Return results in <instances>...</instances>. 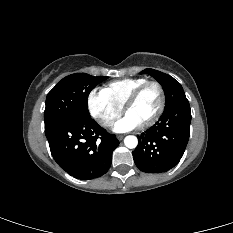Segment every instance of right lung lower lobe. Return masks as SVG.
Here are the masks:
<instances>
[{"instance_id":"obj_1","label":"right lung lower lobe","mask_w":233,"mask_h":233,"mask_svg":"<svg viewBox=\"0 0 233 233\" xmlns=\"http://www.w3.org/2000/svg\"><path fill=\"white\" fill-rule=\"evenodd\" d=\"M51 154L59 166L77 179L105 174L119 145L90 115L65 119L45 127Z\"/></svg>"}]
</instances>
